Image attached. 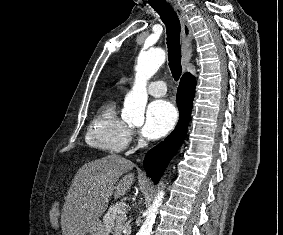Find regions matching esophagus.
Returning <instances> with one entry per match:
<instances>
[{"instance_id":"esophagus-1","label":"esophagus","mask_w":283,"mask_h":235,"mask_svg":"<svg viewBox=\"0 0 283 235\" xmlns=\"http://www.w3.org/2000/svg\"><path fill=\"white\" fill-rule=\"evenodd\" d=\"M170 5L175 10L181 24L182 30V63L184 70L186 69V65L189 64L193 52L192 46V31L191 27L187 21L185 12L181 8V6L175 1L169 0Z\"/></svg>"}]
</instances>
